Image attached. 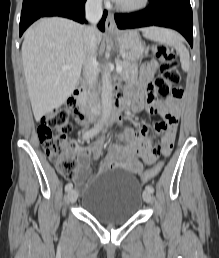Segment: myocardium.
Returning <instances> with one entry per match:
<instances>
[{"instance_id": "myocardium-1", "label": "myocardium", "mask_w": 219, "mask_h": 258, "mask_svg": "<svg viewBox=\"0 0 219 258\" xmlns=\"http://www.w3.org/2000/svg\"><path fill=\"white\" fill-rule=\"evenodd\" d=\"M150 0H139L134 4H123L121 2L116 3L118 10L125 13H135L145 9L149 5Z\"/></svg>"}]
</instances>
